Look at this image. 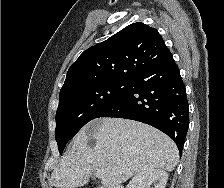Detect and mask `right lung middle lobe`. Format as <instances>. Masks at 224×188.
I'll list each match as a JSON object with an SVG mask.
<instances>
[{"label": "right lung middle lobe", "mask_w": 224, "mask_h": 188, "mask_svg": "<svg viewBox=\"0 0 224 188\" xmlns=\"http://www.w3.org/2000/svg\"><path fill=\"white\" fill-rule=\"evenodd\" d=\"M130 85L131 80H110L60 91L55 130L60 154L85 124L102 117L121 102Z\"/></svg>", "instance_id": "right-lung-middle-lobe-1"}]
</instances>
